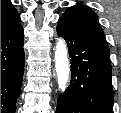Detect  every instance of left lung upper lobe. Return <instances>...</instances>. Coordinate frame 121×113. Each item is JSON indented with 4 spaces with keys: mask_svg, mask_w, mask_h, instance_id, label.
<instances>
[{
    "mask_svg": "<svg viewBox=\"0 0 121 113\" xmlns=\"http://www.w3.org/2000/svg\"><path fill=\"white\" fill-rule=\"evenodd\" d=\"M62 17L83 31L97 37L105 46H107V42L103 30L99 25L97 15L89 7L77 4L68 8Z\"/></svg>",
    "mask_w": 121,
    "mask_h": 113,
    "instance_id": "5c2ea615",
    "label": "left lung upper lobe"
}]
</instances>
